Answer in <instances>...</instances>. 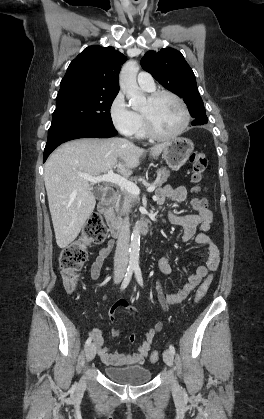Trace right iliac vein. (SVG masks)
<instances>
[{"mask_svg": "<svg viewBox=\"0 0 264 419\" xmlns=\"http://www.w3.org/2000/svg\"><path fill=\"white\" fill-rule=\"evenodd\" d=\"M121 280V276L116 277V282ZM96 355V347L94 344H90L86 349V361L89 362L94 359Z\"/></svg>", "mask_w": 264, "mask_h": 419, "instance_id": "63e3f726", "label": "right iliac vein"}]
</instances>
